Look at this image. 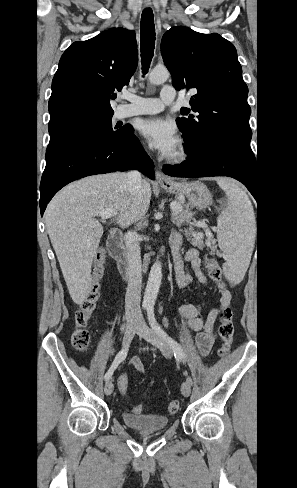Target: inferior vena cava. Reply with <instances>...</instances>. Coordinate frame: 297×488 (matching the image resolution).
Segmentation results:
<instances>
[{"label":"inferior vena cava","mask_w":297,"mask_h":488,"mask_svg":"<svg viewBox=\"0 0 297 488\" xmlns=\"http://www.w3.org/2000/svg\"><path fill=\"white\" fill-rule=\"evenodd\" d=\"M127 184L131 191L138 190L143 184L142 175L134 170L127 173ZM128 259V286L125 296L126 317H141V285H142V264L140 251V236L129 231L124 236Z\"/></svg>","instance_id":"inferior-vena-cava-1"}]
</instances>
